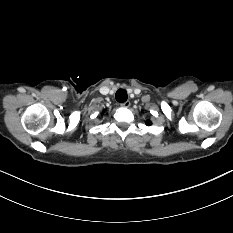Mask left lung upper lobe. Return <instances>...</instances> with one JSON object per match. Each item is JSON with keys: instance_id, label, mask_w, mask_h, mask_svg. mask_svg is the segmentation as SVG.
Returning <instances> with one entry per match:
<instances>
[{"instance_id": "obj_1", "label": "left lung upper lobe", "mask_w": 233, "mask_h": 233, "mask_svg": "<svg viewBox=\"0 0 233 233\" xmlns=\"http://www.w3.org/2000/svg\"><path fill=\"white\" fill-rule=\"evenodd\" d=\"M146 124L151 125L152 123H151V121L148 120V121H146Z\"/></svg>"}]
</instances>
